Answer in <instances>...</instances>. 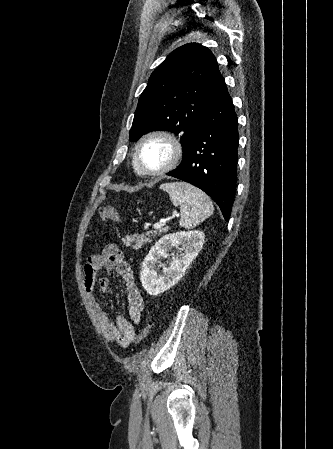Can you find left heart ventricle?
Wrapping results in <instances>:
<instances>
[{
    "instance_id": "b2bd125f",
    "label": "left heart ventricle",
    "mask_w": 333,
    "mask_h": 449,
    "mask_svg": "<svg viewBox=\"0 0 333 449\" xmlns=\"http://www.w3.org/2000/svg\"><path fill=\"white\" fill-rule=\"evenodd\" d=\"M169 146L162 140H151L145 143L140 150L142 164L150 170L159 169L169 159Z\"/></svg>"
}]
</instances>
